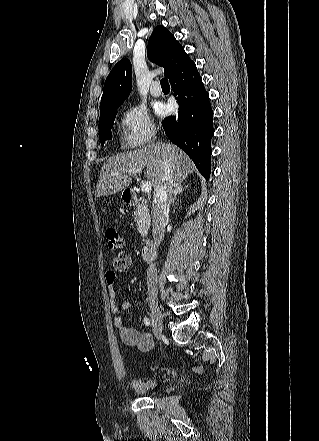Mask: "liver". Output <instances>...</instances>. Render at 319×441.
<instances>
[{"label": "liver", "instance_id": "6515ba94", "mask_svg": "<svg viewBox=\"0 0 319 441\" xmlns=\"http://www.w3.org/2000/svg\"><path fill=\"white\" fill-rule=\"evenodd\" d=\"M167 151L160 144L148 145L137 151L110 157L102 166L95 196H109L122 191L132 182L131 173L126 170L146 168V177L154 190L158 189L163 174V159L171 162L173 183H181L196 170L192 160L178 147L173 145ZM114 173L118 175H114Z\"/></svg>", "mask_w": 319, "mask_h": 441}]
</instances>
